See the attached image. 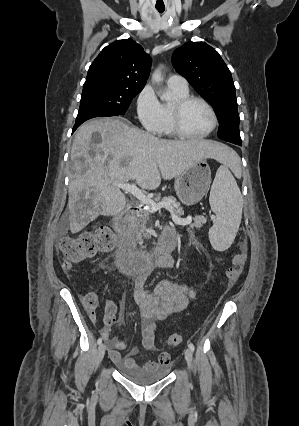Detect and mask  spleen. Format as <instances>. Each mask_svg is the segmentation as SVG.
I'll use <instances>...</instances> for the list:
<instances>
[{"label":"spleen","mask_w":299,"mask_h":426,"mask_svg":"<svg viewBox=\"0 0 299 426\" xmlns=\"http://www.w3.org/2000/svg\"><path fill=\"white\" fill-rule=\"evenodd\" d=\"M209 202L216 214V220L209 230V240L215 250L225 251L238 232L243 208L241 192L226 165H221L216 172Z\"/></svg>","instance_id":"spleen-1"}]
</instances>
